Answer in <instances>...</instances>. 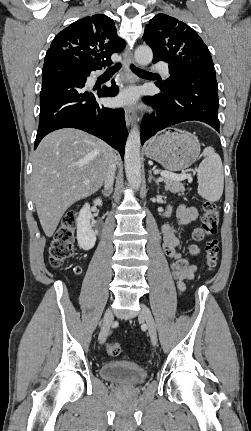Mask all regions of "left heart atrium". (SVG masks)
<instances>
[{"label":"left heart atrium","mask_w":251,"mask_h":431,"mask_svg":"<svg viewBox=\"0 0 251 431\" xmlns=\"http://www.w3.org/2000/svg\"><path fill=\"white\" fill-rule=\"evenodd\" d=\"M137 99V93L134 90H128L123 92L119 98L117 99V102L119 104H132Z\"/></svg>","instance_id":"39dd6f15"}]
</instances>
